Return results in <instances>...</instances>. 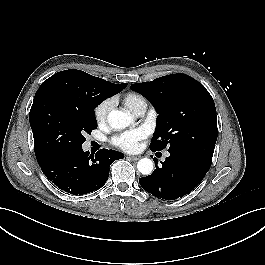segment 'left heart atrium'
Returning a JSON list of instances; mask_svg holds the SVG:
<instances>
[{
    "instance_id": "1",
    "label": "left heart atrium",
    "mask_w": 265,
    "mask_h": 265,
    "mask_svg": "<svg viewBox=\"0 0 265 265\" xmlns=\"http://www.w3.org/2000/svg\"><path fill=\"white\" fill-rule=\"evenodd\" d=\"M146 137V132L142 128H135L122 132L112 138V144L116 147L133 152L139 149L140 141Z\"/></svg>"
}]
</instances>
